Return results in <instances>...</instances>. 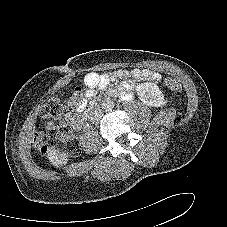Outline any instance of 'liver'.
Masks as SVG:
<instances>
[{"instance_id":"obj_1","label":"liver","mask_w":227,"mask_h":227,"mask_svg":"<svg viewBox=\"0 0 227 227\" xmlns=\"http://www.w3.org/2000/svg\"><path fill=\"white\" fill-rule=\"evenodd\" d=\"M47 157L54 166L66 164L68 159L65 155L59 154L56 150L49 149Z\"/></svg>"}]
</instances>
